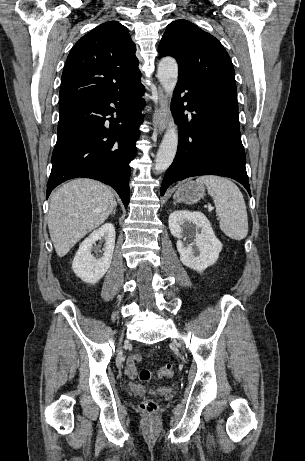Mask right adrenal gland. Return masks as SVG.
I'll return each mask as SVG.
<instances>
[{"label": "right adrenal gland", "instance_id": "obj_1", "mask_svg": "<svg viewBox=\"0 0 305 461\" xmlns=\"http://www.w3.org/2000/svg\"><path fill=\"white\" fill-rule=\"evenodd\" d=\"M111 214H113V215L116 214V207L114 208V210H113V212Z\"/></svg>", "mask_w": 305, "mask_h": 461}]
</instances>
